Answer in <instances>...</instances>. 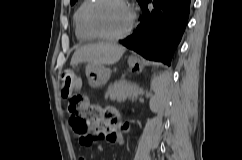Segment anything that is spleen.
Listing matches in <instances>:
<instances>
[{"mask_svg": "<svg viewBox=\"0 0 242 160\" xmlns=\"http://www.w3.org/2000/svg\"><path fill=\"white\" fill-rule=\"evenodd\" d=\"M167 85L168 75L166 73H163L152 81V88L158 95H161L164 92Z\"/></svg>", "mask_w": 242, "mask_h": 160, "instance_id": "3e777b00", "label": "spleen"}]
</instances>
